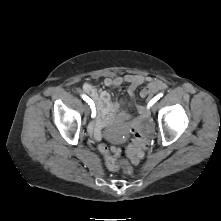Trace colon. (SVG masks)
I'll use <instances>...</instances> for the list:
<instances>
[{
    "instance_id": "colon-1",
    "label": "colon",
    "mask_w": 221,
    "mask_h": 221,
    "mask_svg": "<svg viewBox=\"0 0 221 221\" xmlns=\"http://www.w3.org/2000/svg\"><path fill=\"white\" fill-rule=\"evenodd\" d=\"M99 151L103 154L106 164L109 169L116 170L122 167L125 174L130 175L133 173V168L130 163L124 161L119 163L118 157L120 156V149L117 147H110L104 143L98 146ZM147 149L145 138L140 134L134 132V138L126 148V154L132 164H137L144 156Z\"/></svg>"
}]
</instances>
